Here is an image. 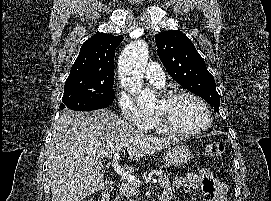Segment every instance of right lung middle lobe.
<instances>
[{
  "label": "right lung middle lobe",
  "instance_id": "obj_1",
  "mask_svg": "<svg viewBox=\"0 0 271 201\" xmlns=\"http://www.w3.org/2000/svg\"><path fill=\"white\" fill-rule=\"evenodd\" d=\"M113 84L114 74L70 73L62 103L79 109L108 107L114 100Z\"/></svg>",
  "mask_w": 271,
  "mask_h": 201
}]
</instances>
